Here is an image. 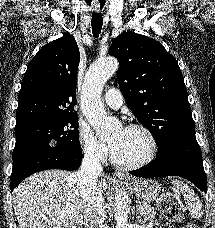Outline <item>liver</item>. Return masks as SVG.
<instances>
[{"instance_id": "obj_1", "label": "liver", "mask_w": 215, "mask_h": 228, "mask_svg": "<svg viewBox=\"0 0 215 228\" xmlns=\"http://www.w3.org/2000/svg\"><path fill=\"white\" fill-rule=\"evenodd\" d=\"M74 174L77 172L44 170L19 184L12 192L19 228H82L86 210L89 208L91 214L95 210L85 204L76 188ZM98 184L104 194L109 180L101 178Z\"/></svg>"}]
</instances>
